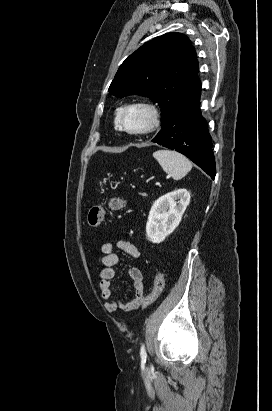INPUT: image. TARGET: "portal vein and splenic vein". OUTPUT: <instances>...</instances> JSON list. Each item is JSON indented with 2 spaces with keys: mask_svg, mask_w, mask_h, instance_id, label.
I'll list each match as a JSON object with an SVG mask.
<instances>
[{
  "mask_svg": "<svg viewBox=\"0 0 272 411\" xmlns=\"http://www.w3.org/2000/svg\"><path fill=\"white\" fill-rule=\"evenodd\" d=\"M168 178V177H167ZM156 186H160V182H156Z\"/></svg>",
  "mask_w": 272,
  "mask_h": 411,
  "instance_id": "portal-vein-and-splenic-vein-1",
  "label": "portal vein and splenic vein"
}]
</instances>
